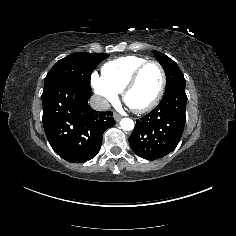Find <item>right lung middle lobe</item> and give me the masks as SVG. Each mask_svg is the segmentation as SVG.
<instances>
[{
	"label": "right lung middle lobe",
	"instance_id": "right-lung-middle-lobe-1",
	"mask_svg": "<svg viewBox=\"0 0 236 236\" xmlns=\"http://www.w3.org/2000/svg\"><path fill=\"white\" fill-rule=\"evenodd\" d=\"M108 56V54L78 52L59 60L45 77L44 89L56 82L67 81L91 90V73Z\"/></svg>",
	"mask_w": 236,
	"mask_h": 236
}]
</instances>
